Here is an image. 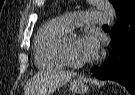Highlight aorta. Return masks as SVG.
<instances>
[{"label":"aorta","instance_id":"aorta-1","mask_svg":"<svg viewBox=\"0 0 135 95\" xmlns=\"http://www.w3.org/2000/svg\"><path fill=\"white\" fill-rule=\"evenodd\" d=\"M92 2L103 9L113 20H116V12L109 0H92Z\"/></svg>","mask_w":135,"mask_h":95}]
</instances>
